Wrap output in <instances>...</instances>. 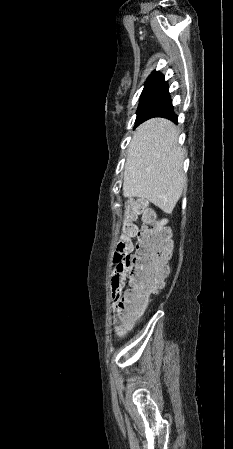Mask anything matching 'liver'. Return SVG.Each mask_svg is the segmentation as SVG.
<instances>
[{"label": "liver", "mask_w": 233, "mask_h": 449, "mask_svg": "<svg viewBox=\"0 0 233 449\" xmlns=\"http://www.w3.org/2000/svg\"><path fill=\"white\" fill-rule=\"evenodd\" d=\"M177 140L178 128L164 118L136 129L127 151L124 196L147 199L167 214L173 211L187 185L185 152Z\"/></svg>", "instance_id": "liver-1"}]
</instances>
